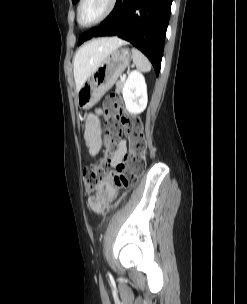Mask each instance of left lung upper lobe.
<instances>
[{
  "label": "left lung upper lobe",
  "mask_w": 247,
  "mask_h": 304,
  "mask_svg": "<svg viewBox=\"0 0 247 304\" xmlns=\"http://www.w3.org/2000/svg\"><path fill=\"white\" fill-rule=\"evenodd\" d=\"M78 0H72L73 3H76Z\"/></svg>",
  "instance_id": "1"
}]
</instances>
